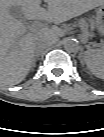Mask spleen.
<instances>
[{
	"label": "spleen",
	"instance_id": "obj_1",
	"mask_svg": "<svg viewBox=\"0 0 104 137\" xmlns=\"http://www.w3.org/2000/svg\"><path fill=\"white\" fill-rule=\"evenodd\" d=\"M87 67L94 74H100L103 70V52L100 49H89L84 54Z\"/></svg>",
	"mask_w": 104,
	"mask_h": 137
}]
</instances>
